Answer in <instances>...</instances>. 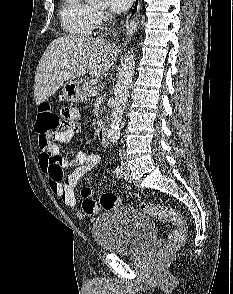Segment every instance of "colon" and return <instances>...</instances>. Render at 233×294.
Masks as SVG:
<instances>
[{
    "label": "colon",
    "instance_id": "obj_1",
    "mask_svg": "<svg viewBox=\"0 0 233 294\" xmlns=\"http://www.w3.org/2000/svg\"><path fill=\"white\" fill-rule=\"evenodd\" d=\"M65 110L62 111V114ZM60 121H63V117H60L49 105L42 104L39 107L37 119L35 122V132L39 137L40 149H51L55 136L63 132L66 129L60 128ZM45 156H54L52 154H45ZM119 200L116 195L112 193H105L100 197L99 205L110 210L117 207ZM140 209L156 219L171 223L177 228L173 230L169 236V240L165 248L161 251L160 257L166 258L169 253L176 247H178L186 237L185 220L184 218L173 208L163 205H157L153 203H142Z\"/></svg>",
    "mask_w": 233,
    "mask_h": 294
}]
</instances>
